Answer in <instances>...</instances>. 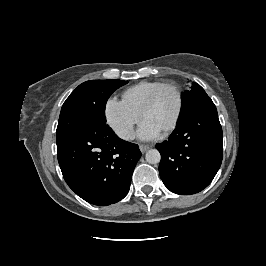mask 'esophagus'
<instances>
[{
  "mask_svg": "<svg viewBox=\"0 0 266 266\" xmlns=\"http://www.w3.org/2000/svg\"><path fill=\"white\" fill-rule=\"evenodd\" d=\"M139 149L142 153H145L149 149V146L141 144L139 145Z\"/></svg>",
  "mask_w": 266,
  "mask_h": 266,
  "instance_id": "obj_1",
  "label": "esophagus"
}]
</instances>
